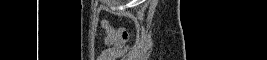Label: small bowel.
<instances>
[{"label": "small bowel", "instance_id": "1", "mask_svg": "<svg viewBox=\"0 0 267 60\" xmlns=\"http://www.w3.org/2000/svg\"><path fill=\"white\" fill-rule=\"evenodd\" d=\"M102 25L107 31L105 43L108 49L101 54V60H115L122 55L130 35L123 28L114 29L107 20H103Z\"/></svg>", "mask_w": 267, "mask_h": 60}]
</instances>
